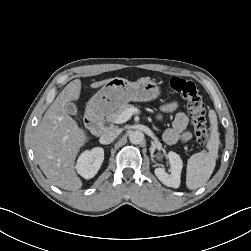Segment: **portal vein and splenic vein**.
I'll use <instances>...</instances> for the list:
<instances>
[{"label":"portal vein and splenic vein","instance_id":"portal-vein-and-splenic-vein-1","mask_svg":"<svg viewBox=\"0 0 251 251\" xmlns=\"http://www.w3.org/2000/svg\"><path fill=\"white\" fill-rule=\"evenodd\" d=\"M140 111L137 108H129L127 110H125L124 112H122L117 119L115 120L114 123L116 124H121V123H125L127 122L133 114L135 113H139Z\"/></svg>","mask_w":251,"mask_h":251}]
</instances>
